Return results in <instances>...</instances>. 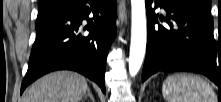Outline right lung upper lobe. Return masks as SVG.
I'll return each instance as SVG.
<instances>
[{
  "instance_id": "obj_1",
  "label": "right lung upper lobe",
  "mask_w": 221,
  "mask_h": 102,
  "mask_svg": "<svg viewBox=\"0 0 221 102\" xmlns=\"http://www.w3.org/2000/svg\"><path fill=\"white\" fill-rule=\"evenodd\" d=\"M73 0H40L38 9L54 7L65 3H72Z\"/></svg>"
}]
</instances>
